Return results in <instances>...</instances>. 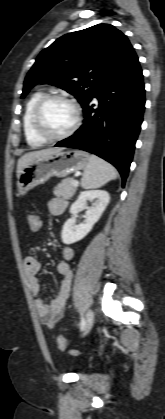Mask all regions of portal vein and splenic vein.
<instances>
[{
	"instance_id": "portal-vein-and-splenic-vein-1",
	"label": "portal vein and splenic vein",
	"mask_w": 165,
	"mask_h": 419,
	"mask_svg": "<svg viewBox=\"0 0 165 419\" xmlns=\"http://www.w3.org/2000/svg\"><path fill=\"white\" fill-rule=\"evenodd\" d=\"M72 184L77 187L79 185V182L77 180H73Z\"/></svg>"
}]
</instances>
